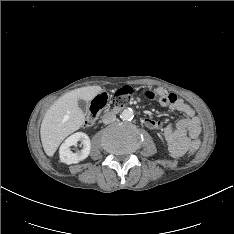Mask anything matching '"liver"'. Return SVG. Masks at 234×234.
I'll return each instance as SVG.
<instances>
[{"label":"liver","mask_w":234,"mask_h":234,"mask_svg":"<svg viewBox=\"0 0 234 234\" xmlns=\"http://www.w3.org/2000/svg\"><path fill=\"white\" fill-rule=\"evenodd\" d=\"M100 86H87L72 90L55 101L45 113L40 136L45 153L53 156L61 142L78 130L85 121V114L78 100L90 101L99 93Z\"/></svg>","instance_id":"1"}]
</instances>
